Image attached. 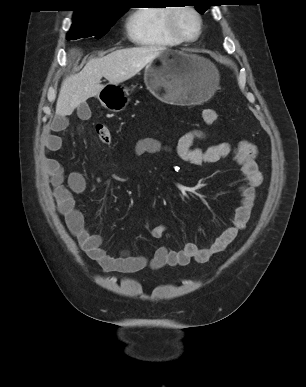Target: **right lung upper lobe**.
I'll use <instances>...</instances> for the list:
<instances>
[{
  "instance_id": "right-lung-upper-lobe-1",
  "label": "right lung upper lobe",
  "mask_w": 306,
  "mask_h": 387,
  "mask_svg": "<svg viewBox=\"0 0 306 387\" xmlns=\"http://www.w3.org/2000/svg\"><path fill=\"white\" fill-rule=\"evenodd\" d=\"M81 9L75 10L74 18H97L120 13L125 9L122 0H80Z\"/></svg>"
}]
</instances>
